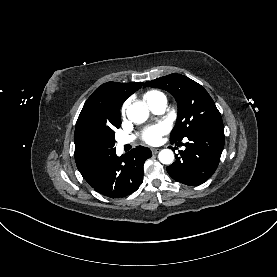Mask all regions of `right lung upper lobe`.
<instances>
[{
  "instance_id": "right-lung-upper-lobe-1",
  "label": "right lung upper lobe",
  "mask_w": 277,
  "mask_h": 277,
  "mask_svg": "<svg viewBox=\"0 0 277 277\" xmlns=\"http://www.w3.org/2000/svg\"><path fill=\"white\" fill-rule=\"evenodd\" d=\"M142 85L136 82H107L87 99L75 126V161L78 169L104 154L95 134L120 127L123 102Z\"/></svg>"
}]
</instances>
